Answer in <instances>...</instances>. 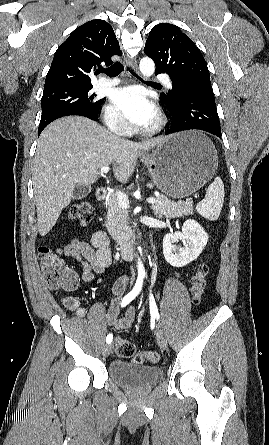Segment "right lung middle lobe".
<instances>
[{
  "instance_id": "right-lung-middle-lobe-1",
  "label": "right lung middle lobe",
  "mask_w": 269,
  "mask_h": 445,
  "mask_svg": "<svg viewBox=\"0 0 269 445\" xmlns=\"http://www.w3.org/2000/svg\"><path fill=\"white\" fill-rule=\"evenodd\" d=\"M92 87V85H79L44 90L39 132L49 123L63 116L98 117L104 99H97L96 94H91L89 90Z\"/></svg>"
}]
</instances>
